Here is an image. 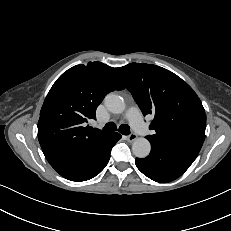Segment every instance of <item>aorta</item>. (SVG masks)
Wrapping results in <instances>:
<instances>
[{
  "instance_id": "762f6f07",
  "label": "aorta",
  "mask_w": 231,
  "mask_h": 231,
  "mask_svg": "<svg viewBox=\"0 0 231 231\" xmlns=\"http://www.w3.org/2000/svg\"><path fill=\"white\" fill-rule=\"evenodd\" d=\"M105 106L110 112L114 114H120L125 110V103L123 98L116 94H109L106 96ZM150 151L151 144L146 138H137L132 144V152L138 158L147 157Z\"/></svg>"
}]
</instances>
